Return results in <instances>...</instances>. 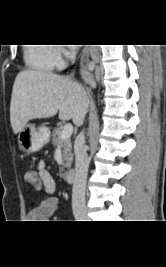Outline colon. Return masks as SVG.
I'll return each mask as SVG.
<instances>
[{
    "label": "colon",
    "instance_id": "5ec220e1",
    "mask_svg": "<svg viewBox=\"0 0 166 267\" xmlns=\"http://www.w3.org/2000/svg\"><path fill=\"white\" fill-rule=\"evenodd\" d=\"M24 177L28 185H36V188H43V183L41 177L37 171L33 169H24Z\"/></svg>",
    "mask_w": 166,
    "mask_h": 267
}]
</instances>
